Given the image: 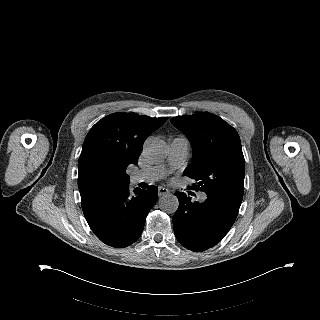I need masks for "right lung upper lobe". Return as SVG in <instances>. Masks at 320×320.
I'll list each match as a JSON object with an SVG mask.
<instances>
[{"label":"right lung upper lobe","instance_id":"1","mask_svg":"<svg viewBox=\"0 0 320 320\" xmlns=\"http://www.w3.org/2000/svg\"><path fill=\"white\" fill-rule=\"evenodd\" d=\"M166 117L113 113L89 131L78 161L81 198L105 188L129 185L126 168L136 165L145 139Z\"/></svg>","mask_w":320,"mask_h":320}]
</instances>
